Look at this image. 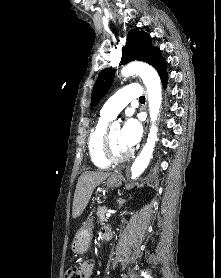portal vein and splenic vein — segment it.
I'll return each instance as SVG.
<instances>
[{"label": "portal vein and splenic vein", "instance_id": "obj_1", "mask_svg": "<svg viewBox=\"0 0 221 278\" xmlns=\"http://www.w3.org/2000/svg\"><path fill=\"white\" fill-rule=\"evenodd\" d=\"M112 213H115V211H112V210L108 211V212L106 213V216H107V217H111Z\"/></svg>", "mask_w": 221, "mask_h": 278}]
</instances>
